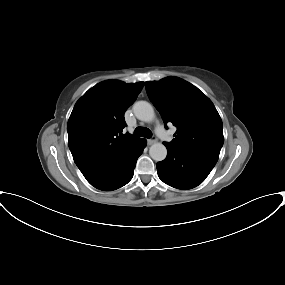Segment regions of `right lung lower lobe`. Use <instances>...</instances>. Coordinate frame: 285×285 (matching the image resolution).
<instances>
[{"instance_id":"obj_1","label":"right lung lower lobe","mask_w":285,"mask_h":285,"mask_svg":"<svg viewBox=\"0 0 285 285\" xmlns=\"http://www.w3.org/2000/svg\"><path fill=\"white\" fill-rule=\"evenodd\" d=\"M145 146L146 140L139 139L83 175L97 189L104 191L118 189L132 179L136 161Z\"/></svg>"}]
</instances>
